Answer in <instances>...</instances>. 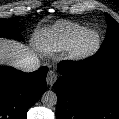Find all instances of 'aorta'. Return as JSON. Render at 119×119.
Listing matches in <instances>:
<instances>
[{"label": "aorta", "mask_w": 119, "mask_h": 119, "mask_svg": "<svg viewBox=\"0 0 119 119\" xmlns=\"http://www.w3.org/2000/svg\"><path fill=\"white\" fill-rule=\"evenodd\" d=\"M42 103L47 107H52L57 104V95L54 91H46L41 97Z\"/></svg>", "instance_id": "762f6f07"}]
</instances>
